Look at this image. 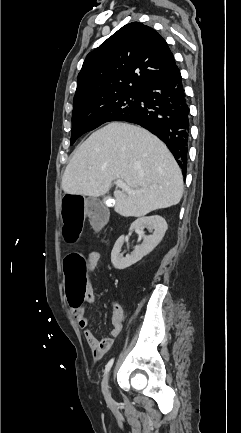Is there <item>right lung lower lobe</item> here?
<instances>
[{"label":"right lung lower lobe","mask_w":241,"mask_h":433,"mask_svg":"<svg viewBox=\"0 0 241 433\" xmlns=\"http://www.w3.org/2000/svg\"><path fill=\"white\" fill-rule=\"evenodd\" d=\"M138 106L120 121L138 124L160 138L186 173L189 141V108L177 66L146 84Z\"/></svg>","instance_id":"1"}]
</instances>
